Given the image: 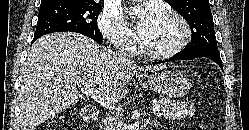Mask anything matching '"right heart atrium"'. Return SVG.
Instances as JSON below:
<instances>
[{"mask_svg": "<svg viewBox=\"0 0 249 130\" xmlns=\"http://www.w3.org/2000/svg\"><path fill=\"white\" fill-rule=\"evenodd\" d=\"M98 26L102 34L116 48L132 52L136 48L135 34L121 18L110 10H104L98 17Z\"/></svg>", "mask_w": 249, "mask_h": 130, "instance_id": "obj_1", "label": "right heart atrium"}]
</instances>
